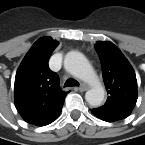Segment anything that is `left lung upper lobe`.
<instances>
[{"mask_svg":"<svg viewBox=\"0 0 145 145\" xmlns=\"http://www.w3.org/2000/svg\"><path fill=\"white\" fill-rule=\"evenodd\" d=\"M94 47L101 61L108 98L103 106L93 111L114 121L124 119L130 115L137 101L135 72L111 42H98Z\"/></svg>","mask_w":145,"mask_h":145,"instance_id":"1","label":"left lung upper lobe"}]
</instances>
